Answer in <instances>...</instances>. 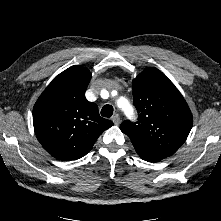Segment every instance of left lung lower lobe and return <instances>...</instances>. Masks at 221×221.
I'll return each instance as SVG.
<instances>
[{
	"instance_id": "obj_1",
	"label": "left lung lower lobe",
	"mask_w": 221,
	"mask_h": 221,
	"mask_svg": "<svg viewBox=\"0 0 221 221\" xmlns=\"http://www.w3.org/2000/svg\"><path fill=\"white\" fill-rule=\"evenodd\" d=\"M134 148L136 150V152L138 153V155L146 161L149 162H158L160 160H162V158H160L157 155L151 154L148 151H146L144 148H142L141 146L138 145H134Z\"/></svg>"
}]
</instances>
